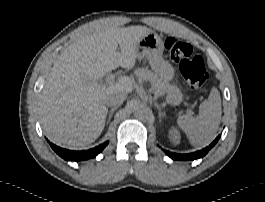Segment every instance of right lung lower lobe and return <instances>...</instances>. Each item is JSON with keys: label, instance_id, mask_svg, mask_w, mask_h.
Listing matches in <instances>:
<instances>
[{"label": "right lung lower lobe", "instance_id": "right-lung-lower-lobe-1", "mask_svg": "<svg viewBox=\"0 0 265 202\" xmlns=\"http://www.w3.org/2000/svg\"><path fill=\"white\" fill-rule=\"evenodd\" d=\"M107 144H108V141L104 142L103 144L95 148H92L89 150H83V151H72V150L63 149L52 143H50V146L59 156H61L65 160L81 161V160L94 158L107 146Z\"/></svg>", "mask_w": 265, "mask_h": 202}]
</instances>
